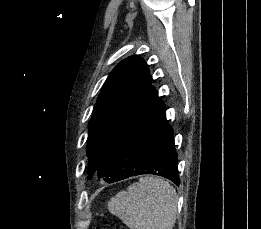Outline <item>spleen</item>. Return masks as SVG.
Masks as SVG:
<instances>
[{"label": "spleen", "mask_w": 261, "mask_h": 229, "mask_svg": "<svg viewBox=\"0 0 261 229\" xmlns=\"http://www.w3.org/2000/svg\"><path fill=\"white\" fill-rule=\"evenodd\" d=\"M177 203V193L168 181L141 177L139 183L112 197L107 209L129 229H173Z\"/></svg>", "instance_id": "3e777b00"}]
</instances>
